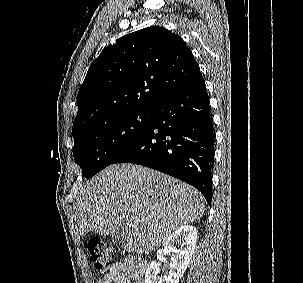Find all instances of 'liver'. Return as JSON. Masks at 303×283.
Returning <instances> with one entry per match:
<instances>
[{
  "label": "liver",
  "instance_id": "obj_1",
  "mask_svg": "<svg viewBox=\"0 0 303 283\" xmlns=\"http://www.w3.org/2000/svg\"><path fill=\"white\" fill-rule=\"evenodd\" d=\"M75 229L114 235L122 221L132 225L128 246L150 253L175 230L199 219L204 197L195 188L158 171L133 164L110 165L74 193Z\"/></svg>",
  "mask_w": 303,
  "mask_h": 283
}]
</instances>
